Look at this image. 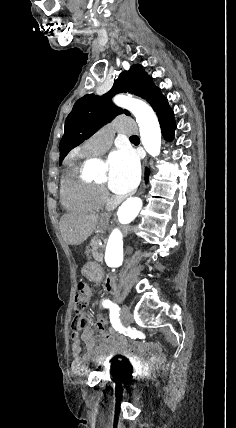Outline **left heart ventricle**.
<instances>
[{
	"label": "left heart ventricle",
	"mask_w": 236,
	"mask_h": 428,
	"mask_svg": "<svg viewBox=\"0 0 236 428\" xmlns=\"http://www.w3.org/2000/svg\"><path fill=\"white\" fill-rule=\"evenodd\" d=\"M108 179H109V177H108V175H107V170H106V172H105V173H103L102 175H100V176L96 179V181H97L98 183H100V184H106V183H108Z\"/></svg>",
	"instance_id": "b2bd125f"
}]
</instances>
